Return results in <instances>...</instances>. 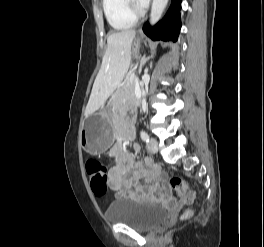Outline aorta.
<instances>
[{"label": "aorta", "instance_id": "762f6f07", "mask_svg": "<svg viewBox=\"0 0 264 247\" xmlns=\"http://www.w3.org/2000/svg\"><path fill=\"white\" fill-rule=\"evenodd\" d=\"M167 3L168 0H153L150 13L151 25H154L159 21Z\"/></svg>", "mask_w": 264, "mask_h": 247}]
</instances>
